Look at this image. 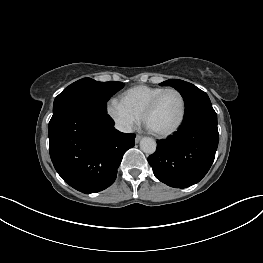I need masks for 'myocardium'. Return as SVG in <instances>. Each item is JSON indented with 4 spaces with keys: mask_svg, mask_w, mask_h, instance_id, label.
<instances>
[{
    "mask_svg": "<svg viewBox=\"0 0 263 263\" xmlns=\"http://www.w3.org/2000/svg\"><path fill=\"white\" fill-rule=\"evenodd\" d=\"M168 92H175L179 95L180 99H181V105H182V109H181V114L180 117L178 119V121L176 122V124L171 127L168 130L165 131H155L152 130L149 126H148V117L149 115L153 112V110L156 108L157 104L159 103L160 99ZM186 111H187V105H186V99L184 94L177 88L174 87H168L165 88L164 90H162L160 93H158L150 102L149 104L146 106L142 118H143V122L145 124V126L151 131L153 132L155 135L159 136V137H168L172 134H174L183 124L185 116H186Z\"/></svg>",
    "mask_w": 263,
    "mask_h": 263,
    "instance_id": "1",
    "label": "myocardium"
}]
</instances>
